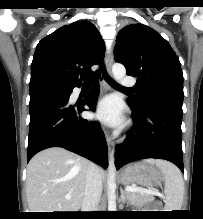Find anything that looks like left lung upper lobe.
<instances>
[{
	"label": "left lung upper lobe",
	"instance_id": "left-lung-upper-lobe-1",
	"mask_svg": "<svg viewBox=\"0 0 203 219\" xmlns=\"http://www.w3.org/2000/svg\"><path fill=\"white\" fill-rule=\"evenodd\" d=\"M115 60L137 77V94L128 98L141 107L151 100H183V73L170 44L152 28L137 23L120 30Z\"/></svg>",
	"mask_w": 203,
	"mask_h": 219
}]
</instances>
